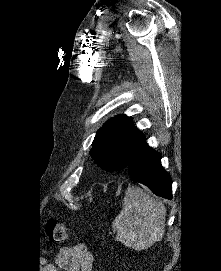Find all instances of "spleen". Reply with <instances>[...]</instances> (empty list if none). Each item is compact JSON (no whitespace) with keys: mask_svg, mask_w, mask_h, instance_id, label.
<instances>
[{"mask_svg":"<svg viewBox=\"0 0 221 271\" xmlns=\"http://www.w3.org/2000/svg\"><path fill=\"white\" fill-rule=\"evenodd\" d=\"M166 207L137 187L122 201V209L112 221L117 241L130 249H148L161 241L165 231Z\"/></svg>","mask_w":221,"mask_h":271,"instance_id":"1","label":"spleen"}]
</instances>
